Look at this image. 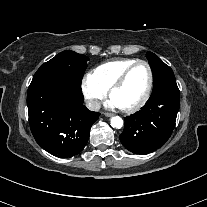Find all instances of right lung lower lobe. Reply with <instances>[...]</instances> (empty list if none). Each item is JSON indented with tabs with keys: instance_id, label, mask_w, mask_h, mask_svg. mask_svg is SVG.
Here are the masks:
<instances>
[{
	"instance_id": "98d812e1",
	"label": "right lung lower lobe",
	"mask_w": 207,
	"mask_h": 207,
	"mask_svg": "<svg viewBox=\"0 0 207 207\" xmlns=\"http://www.w3.org/2000/svg\"><path fill=\"white\" fill-rule=\"evenodd\" d=\"M27 106L36 142L51 154L64 158L84 149L90 128L100 115L83 105L81 89L55 79L31 82Z\"/></svg>"
}]
</instances>
